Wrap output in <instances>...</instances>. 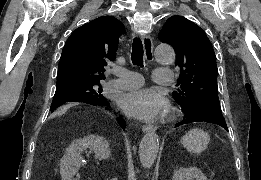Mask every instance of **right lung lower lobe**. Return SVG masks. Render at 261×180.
<instances>
[{
  "mask_svg": "<svg viewBox=\"0 0 261 180\" xmlns=\"http://www.w3.org/2000/svg\"><path fill=\"white\" fill-rule=\"evenodd\" d=\"M85 103V102H84ZM88 104L96 105V106H106L108 105V102L105 100L97 101V102H89ZM118 123L120 126L124 129L126 127V123L122 118H117Z\"/></svg>",
  "mask_w": 261,
  "mask_h": 180,
  "instance_id": "obj_1",
  "label": "right lung lower lobe"
}]
</instances>
